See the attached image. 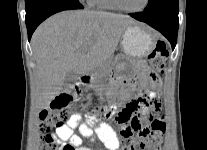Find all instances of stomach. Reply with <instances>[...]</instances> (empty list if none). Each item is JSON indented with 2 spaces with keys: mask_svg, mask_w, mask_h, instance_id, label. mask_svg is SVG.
I'll return each mask as SVG.
<instances>
[{
  "mask_svg": "<svg viewBox=\"0 0 207 150\" xmlns=\"http://www.w3.org/2000/svg\"><path fill=\"white\" fill-rule=\"evenodd\" d=\"M156 42V33L144 24H133L125 29L122 34L121 47L123 54L132 59H143L153 50ZM123 64L118 62V68ZM105 97L118 91V84L106 83L97 89Z\"/></svg>",
  "mask_w": 207,
  "mask_h": 150,
  "instance_id": "0dacf381",
  "label": "stomach"
}]
</instances>
